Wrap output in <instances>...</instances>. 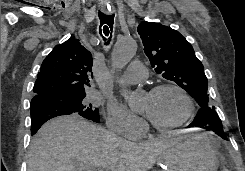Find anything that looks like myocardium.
<instances>
[{
  "label": "myocardium",
  "mask_w": 245,
  "mask_h": 171,
  "mask_svg": "<svg viewBox=\"0 0 245 171\" xmlns=\"http://www.w3.org/2000/svg\"><path fill=\"white\" fill-rule=\"evenodd\" d=\"M168 89L176 90L184 97L187 103V110L184 116L179 121L172 123V124H168V125L157 124L156 122L148 118L149 124L158 131H171L176 128H179L182 125H184L192 117L194 113V102H193L192 97L184 88H182L181 86L177 84L163 83V84L156 85L149 90L148 94L153 95V94H156L158 92L168 90Z\"/></svg>",
  "instance_id": "obj_1"
}]
</instances>
